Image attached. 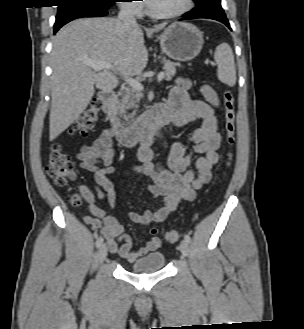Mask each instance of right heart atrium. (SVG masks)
<instances>
[{
  "label": "right heart atrium",
  "mask_w": 304,
  "mask_h": 329,
  "mask_svg": "<svg viewBox=\"0 0 304 329\" xmlns=\"http://www.w3.org/2000/svg\"><path fill=\"white\" fill-rule=\"evenodd\" d=\"M122 8L133 14V15H141L144 9V5L142 0H122Z\"/></svg>",
  "instance_id": "obj_1"
}]
</instances>
